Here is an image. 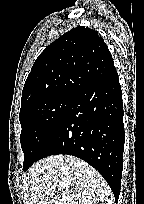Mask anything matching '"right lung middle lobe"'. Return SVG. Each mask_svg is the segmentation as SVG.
<instances>
[{
  "label": "right lung middle lobe",
  "instance_id": "right-lung-middle-lobe-1",
  "mask_svg": "<svg viewBox=\"0 0 144 204\" xmlns=\"http://www.w3.org/2000/svg\"><path fill=\"white\" fill-rule=\"evenodd\" d=\"M75 96L76 94L72 93H60L37 102L20 113L23 171L38 160L43 145L61 121Z\"/></svg>",
  "mask_w": 144,
  "mask_h": 204
}]
</instances>
